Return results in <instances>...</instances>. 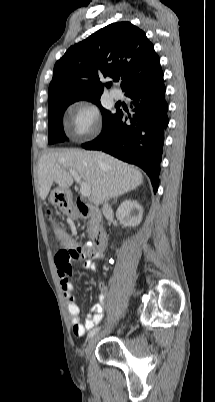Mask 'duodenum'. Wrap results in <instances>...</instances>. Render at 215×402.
<instances>
[{"label": "duodenum", "instance_id": "obj_1", "mask_svg": "<svg viewBox=\"0 0 215 402\" xmlns=\"http://www.w3.org/2000/svg\"><path fill=\"white\" fill-rule=\"evenodd\" d=\"M70 213L75 218H92L96 222H99L101 219L100 213L81 198L76 199ZM108 240V235L104 231L99 230L95 235L94 243L98 248L103 249L107 246Z\"/></svg>", "mask_w": 215, "mask_h": 402}]
</instances>
